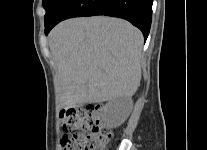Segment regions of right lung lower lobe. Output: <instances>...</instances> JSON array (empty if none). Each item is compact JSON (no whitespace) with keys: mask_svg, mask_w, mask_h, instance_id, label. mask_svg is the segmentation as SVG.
Instances as JSON below:
<instances>
[{"mask_svg":"<svg viewBox=\"0 0 207 150\" xmlns=\"http://www.w3.org/2000/svg\"><path fill=\"white\" fill-rule=\"evenodd\" d=\"M153 0H65L54 17L45 23V34L60 21L78 16L106 15L128 20L146 40L152 20Z\"/></svg>","mask_w":207,"mask_h":150,"instance_id":"obj_1","label":"right lung lower lobe"}]
</instances>
